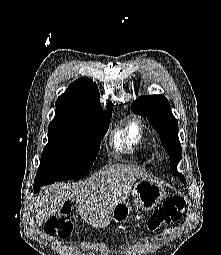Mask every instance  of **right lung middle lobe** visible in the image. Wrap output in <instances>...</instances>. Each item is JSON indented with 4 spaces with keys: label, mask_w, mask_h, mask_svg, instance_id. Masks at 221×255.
I'll return each instance as SVG.
<instances>
[{
    "label": "right lung middle lobe",
    "mask_w": 221,
    "mask_h": 255,
    "mask_svg": "<svg viewBox=\"0 0 221 255\" xmlns=\"http://www.w3.org/2000/svg\"><path fill=\"white\" fill-rule=\"evenodd\" d=\"M111 113L99 115L93 127L50 123L49 141L44 147L35 182L46 185L88 175L109 128Z\"/></svg>",
    "instance_id": "1"
}]
</instances>
